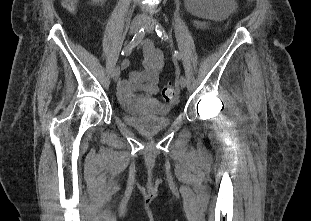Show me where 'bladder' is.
Masks as SVG:
<instances>
[{"mask_svg": "<svg viewBox=\"0 0 311 221\" xmlns=\"http://www.w3.org/2000/svg\"><path fill=\"white\" fill-rule=\"evenodd\" d=\"M123 122L142 135H155L172 125V107L156 97L142 104L122 103Z\"/></svg>", "mask_w": 311, "mask_h": 221, "instance_id": "31cf9c89", "label": "bladder"}]
</instances>
